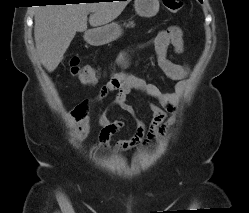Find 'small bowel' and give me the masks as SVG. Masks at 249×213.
I'll return each mask as SVG.
<instances>
[{
    "mask_svg": "<svg viewBox=\"0 0 249 213\" xmlns=\"http://www.w3.org/2000/svg\"><path fill=\"white\" fill-rule=\"evenodd\" d=\"M151 44L155 48L157 64L161 71L169 78L178 81L175 91L164 92L154 83L127 74L124 69L130 64L135 53V50H127L118 58L119 70L115 71L100 88L96 98L94 100H84L72 110L71 115L79 126L78 134L81 137L86 136L89 132V110L92 104L102 101L113 91L118 92L115 99L107 109L101 111L98 115V123L101 126L98 138L100 147L103 150L109 148L110 137L119 132L125 125V122L121 119L110 120L109 111L112 107L120 108L132 115L136 120L135 134L130 139L118 141L115 147L117 151H127L138 146H149L159 137H162L168 127L175 121L174 112L179 98L186 87L190 68L188 65L176 64L170 61L168 59V50L170 47H173L176 53L183 51L182 30L178 26H170L160 31ZM133 91L158 102V104H150L153 116L148 127L136 116L133 106L127 102L129 94ZM167 113L171 115L167 117Z\"/></svg>",
    "mask_w": 249,
    "mask_h": 213,
    "instance_id": "small-bowel-1",
    "label": "small bowel"
}]
</instances>
